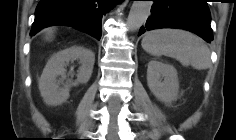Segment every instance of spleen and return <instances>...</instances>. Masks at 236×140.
Listing matches in <instances>:
<instances>
[{"label": "spleen", "instance_id": "spleen-1", "mask_svg": "<svg viewBox=\"0 0 236 140\" xmlns=\"http://www.w3.org/2000/svg\"><path fill=\"white\" fill-rule=\"evenodd\" d=\"M142 48L153 56L165 55L183 66L207 69L211 65L210 50L198 36L184 30H153L142 39Z\"/></svg>", "mask_w": 236, "mask_h": 140}]
</instances>
